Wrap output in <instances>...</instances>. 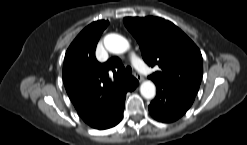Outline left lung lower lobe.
I'll return each mask as SVG.
<instances>
[{"label":"left lung lower lobe","mask_w":247,"mask_h":145,"mask_svg":"<svg viewBox=\"0 0 247 145\" xmlns=\"http://www.w3.org/2000/svg\"><path fill=\"white\" fill-rule=\"evenodd\" d=\"M157 95L149 105L151 116L160 122H173L184 115L191 107L195 95L164 81H153Z\"/></svg>","instance_id":"0a47b994"}]
</instances>
